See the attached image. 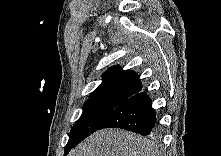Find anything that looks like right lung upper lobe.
I'll return each mask as SVG.
<instances>
[{
  "mask_svg": "<svg viewBox=\"0 0 221 156\" xmlns=\"http://www.w3.org/2000/svg\"><path fill=\"white\" fill-rule=\"evenodd\" d=\"M102 83L91 93L90 98H115L127 100L142 90L138 75L116 65L102 75Z\"/></svg>",
  "mask_w": 221,
  "mask_h": 156,
  "instance_id": "cb5924a9",
  "label": "right lung upper lobe"
}]
</instances>
